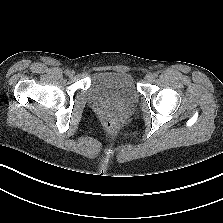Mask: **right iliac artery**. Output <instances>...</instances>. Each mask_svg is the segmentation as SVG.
Listing matches in <instances>:
<instances>
[{
  "label": "right iliac artery",
  "instance_id": "1",
  "mask_svg": "<svg viewBox=\"0 0 223 223\" xmlns=\"http://www.w3.org/2000/svg\"><path fill=\"white\" fill-rule=\"evenodd\" d=\"M69 72H70V71H69L68 69H67V70H65V74H69Z\"/></svg>",
  "mask_w": 223,
  "mask_h": 223
}]
</instances>
